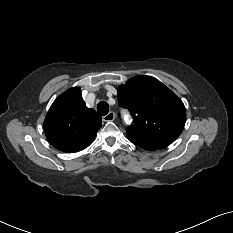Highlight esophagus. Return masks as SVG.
Here are the masks:
<instances>
[{"mask_svg":"<svg viewBox=\"0 0 233 233\" xmlns=\"http://www.w3.org/2000/svg\"><path fill=\"white\" fill-rule=\"evenodd\" d=\"M115 119V113L113 111H110L107 115L103 116V121L110 122Z\"/></svg>","mask_w":233,"mask_h":233,"instance_id":"esophagus-1","label":"esophagus"}]
</instances>
